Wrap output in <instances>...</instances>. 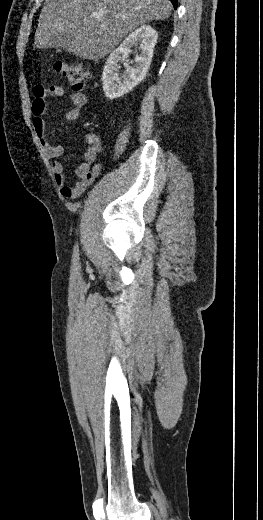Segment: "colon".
Instances as JSON below:
<instances>
[{
    "instance_id": "5ec220e1",
    "label": "colon",
    "mask_w": 263,
    "mask_h": 520,
    "mask_svg": "<svg viewBox=\"0 0 263 520\" xmlns=\"http://www.w3.org/2000/svg\"><path fill=\"white\" fill-rule=\"evenodd\" d=\"M53 68L59 72L75 91L84 89L90 78V70L86 64L54 61Z\"/></svg>"
}]
</instances>
